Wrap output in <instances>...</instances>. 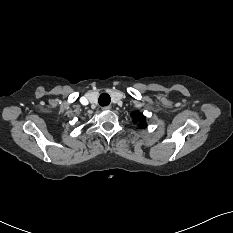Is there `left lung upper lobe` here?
I'll use <instances>...</instances> for the list:
<instances>
[{
  "instance_id": "obj_1",
  "label": "left lung upper lobe",
  "mask_w": 233,
  "mask_h": 233,
  "mask_svg": "<svg viewBox=\"0 0 233 233\" xmlns=\"http://www.w3.org/2000/svg\"><path fill=\"white\" fill-rule=\"evenodd\" d=\"M134 118V122L139 124V127L144 128L147 126L146 117L139 112L132 113L131 115Z\"/></svg>"
}]
</instances>
